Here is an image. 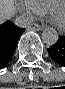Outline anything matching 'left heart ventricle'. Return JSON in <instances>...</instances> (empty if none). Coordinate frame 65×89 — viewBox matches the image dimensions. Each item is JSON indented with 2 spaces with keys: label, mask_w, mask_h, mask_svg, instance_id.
<instances>
[{
  "label": "left heart ventricle",
  "mask_w": 65,
  "mask_h": 89,
  "mask_svg": "<svg viewBox=\"0 0 65 89\" xmlns=\"http://www.w3.org/2000/svg\"><path fill=\"white\" fill-rule=\"evenodd\" d=\"M56 17L58 18L59 21H63L65 17V10L62 8H59L56 12Z\"/></svg>",
  "instance_id": "left-heart-ventricle-1"
}]
</instances>
